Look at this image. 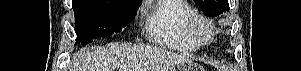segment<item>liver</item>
I'll use <instances>...</instances> for the list:
<instances>
[{"label":"liver","instance_id":"1","mask_svg":"<svg viewBox=\"0 0 301 71\" xmlns=\"http://www.w3.org/2000/svg\"><path fill=\"white\" fill-rule=\"evenodd\" d=\"M74 62L73 71H174L190 60L157 47L111 43L78 51Z\"/></svg>","mask_w":301,"mask_h":71}]
</instances>
